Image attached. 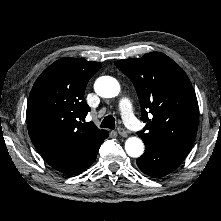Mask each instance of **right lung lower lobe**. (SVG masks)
Segmentation results:
<instances>
[{
	"label": "right lung lower lobe",
	"instance_id": "right-lung-lower-lobe-1",
	"mask_svg": "<svg viewBox=\"0 0 221 221\" xmlns=\"http://www.w3.org/2000/svg\"><path fill=\"white\" fill-rule=\"evenodd\" d=\"M107 137L108 134H104L84 144L42 156L54 169L66 175L80 174L95 161L100 145Z\"/></svg>",
	"mask_w": 221,
	"mask_h": 221
}]
</instances>
